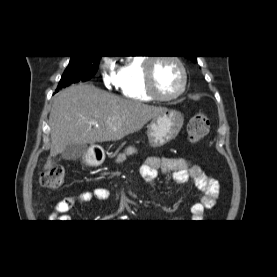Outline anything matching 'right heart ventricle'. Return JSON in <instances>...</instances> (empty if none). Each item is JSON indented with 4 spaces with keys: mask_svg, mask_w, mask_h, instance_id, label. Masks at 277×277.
Returning a JSON list of instances; mask_svg holds the SVG:
<instances>
[{
    "mask_svg": "<svg viewBox=\"0 0 277 277\" xmlns=\"http://www.w3.org/2000/svg\"><path fill=\"white\" fill-rule=\"evenodd\" d=\"M145 57L134 56L123 62L119 68V88L126 98L149 102L153 98L147 93L144 84Z\"/></svg>",
    "mask_w": 277,
    "mask_h": 277,
    "instance_id": "e07e8e85",
    "label": "right heart ventricle"
}]
</instances>
